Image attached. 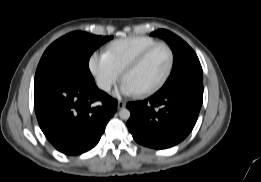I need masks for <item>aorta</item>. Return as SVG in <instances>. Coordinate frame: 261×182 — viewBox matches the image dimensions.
<instances>
[{
  "instance_id": "762f6f07",
  "label": "aorta",
  "mask_w": 261,
  "mask_h": 182,
  "mask_svg": "<svg viewBox=\"0 0 261 182\" xmlns=\"http://www.w3.org/2000/svg\"><path fill=\"white\" fill-rule=\"evenodd\" d=\"M130 111L126 108H123L119 111V116L121 119L128 120L130 118Z\"/></svg>"
}]
</instances>
